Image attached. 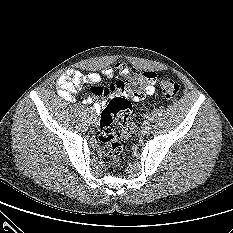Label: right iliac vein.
<instances>
[{
	"label": "right iliac vein",
	"mask_w": 233,
	"mask_h": 233,
	"mask_svg": "<svg viewBox=\"0 0 233 233\" xmlns=\"http://www.w3.org/2000/svg\"><path fill=\"white\" fill-rule=\"evenodd\" d=\"M90 121L92 124H97L98 123V118L95 114H93L90 118Z\"/></svg>",
	"instance_id": "obj_1"
}]
</instances>
